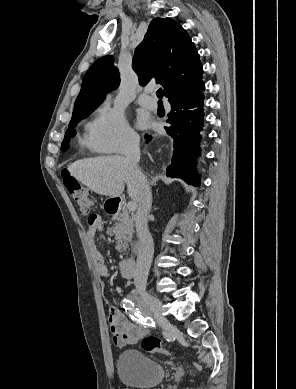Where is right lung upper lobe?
Here are the masks:
<instances>
[{
	"label": "right lung upper lobe",
	"mask_w": 296,
	"mask_h": 389,
	"mask_svg": "<svg viewBox=\"0 0 296 389\" xmlns=\"http://www.w3.org/2000/svg\"><path fill=\"white\" fill-rule=\"evenodd\" d=\"M132 67L141 86L156 80L163 86L166 97L174 90L193 89L204 84L196 47L182 26L171 18L151 21L143 41L135 50ZM119 83L113 57L98 59L84 76L73 113L97 107L105 94L116 89Z\"/></svg>",
	"instance_id": "right-lung-upper-lobe-1"
}]
</instances>
